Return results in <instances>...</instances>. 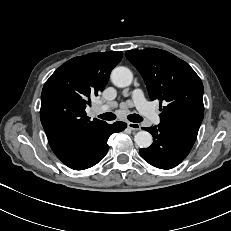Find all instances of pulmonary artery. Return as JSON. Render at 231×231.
Segmentation results:
<instances>
[{
    "label": "pulmonary artery",
    "instance_id": "1",
    "mask_svg": "<svg viewBox=\"0 0 231 231\" xmlns=\"http://www.w3.org/2000/svg\"><path fill=\"white\" fill-rule=\"evenodd\" d=\"M132 100L137 109L143 113L151 122L158 123L159 117L154 108L146 101L143 92L140 89H135L132 92ZM114 107V104L103 105L102 110H107Z\"/></svg>",
    "mask_w": 231,
    "mask_h": 231
}]
</instances>
